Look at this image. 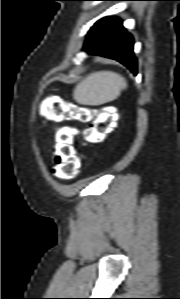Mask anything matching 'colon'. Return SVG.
Here are the masks:
<instances>
[{
	"instance_id": "obj_1",
	"label": "colon",
	"mask_w": 180,
	"mask_h": 299,
	"mask_svg": "<svg viewBox=\"0 0 180 299\" xmlns=\"http://www.w3.org/2000/svg\"><path fill=\"white\" fill-rule=\"evenodd\" d=\"M49 115L52 119L71 118L79 122L90 123L83 137L89 142H98L104 139L113 128L116 111L111 107H105L97 114L89 107L69 106L64 102H55L51 106ZM74 136L73 130L63 128L56 134L54 140L52 173L64 180L75 178L81 169V161L73 147Z\"/></svg>"
}]
</instances>
